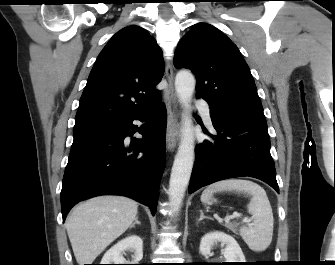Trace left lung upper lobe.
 I'll return each instance as SVG.
<instances>
[{
    "instance_id": "1",
    "label": "left lung upper lobe",
    "mask_w": 335,
    "mask_h": 265,
    "mask_svg": "<svg viewBox=\"0 0 335 265\" xmlns=\"http://www.w3.org/2000/svg\"><path fill=\"white\" fill-rule=\"evenodd\" d=\"M174 66L194 73L197 97L210 108L267 131L250 69L237 46L220 30L207 23L195 24L180 41Z\"/></svg>"
}]
</instances>
